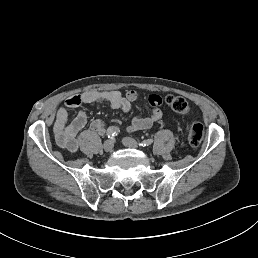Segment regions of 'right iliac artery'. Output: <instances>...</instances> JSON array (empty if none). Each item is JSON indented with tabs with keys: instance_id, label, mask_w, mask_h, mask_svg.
<instances>
[{
	"instance_id": "82829eb1",
	"label": "right iliac artery",
	"mask_w": 258,
	"mask_h": 258,
	"mask_svg": "<svg viewBox=\"0 0 258 258\" xmlns=\"http://www.w3.org/2000/svg\"><path fill=\"white\" fill-rule=\"evenodd\" d=\"M119 131H120V130H119L118 127H116V126H111V127L108 128L106 135H107V137H108L109 139H113L115 136L118 135Z\"/></svg>"
}]
</instances>
